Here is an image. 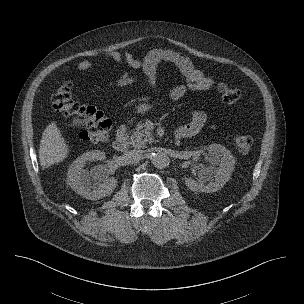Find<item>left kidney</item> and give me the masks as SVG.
<instances>
[{
  "instance_id": "left-kidney-1",
  "label": "left kidney",
  "mask_w": 304,
  "mask_h": 304,
  "mask_svg": "<svg viewBox=\"0 0 304 304\" xmlns=\"http://www.w3.org/2000/svg\"><path fill=\"white\" fill-rule=\"evenodd\" d=\"M207 159L218 165L217 170L209 167H201L198 171V181L186 178L185 184L192 191L198 192H216L221 189L230 179L235 167V159L231 152L220 144H210L207 147ZM213 173L215 176L213 178ZM209 181L208 184L206 182Z\"/></svg>"
}]
</instances>
